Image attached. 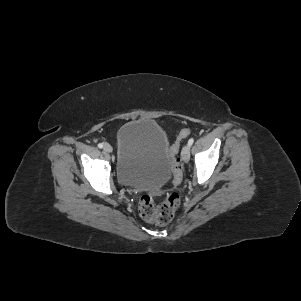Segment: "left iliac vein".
<instances>
[{"mask_svg":"<svg viewBox=\"0 0 301 301\" xmlns=\"http://www.w3.org/2000/svg\"><path fill=\"white\" fill-rule=\"evenodd\" d=\"M181 156H182V159L185 163H187L189 161V157H190V147L189 145H185L183 148H182V151H181Z\"/></svg>","mask_w":301,"mask_h":301,"instance_id":"4c4485c4","label":"left iliac vein"}]
</instances>
